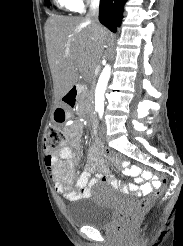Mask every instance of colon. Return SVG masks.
<instances>
[{
	"instance_id": "obj_1",
	"label": "colon",
	"mask_w": 183,
	"mask_h": 246,
	"mask_svg": "<svg viewBox=\"0 0 183 246\" xmlns=\"http://www.w3.org/2000/svg\"><path fill=\"white\" fill-rule=\"evenodd\" d=\"M66 118V112L64 109L58 108L55 112V120L57 122H64ZM64 141V134L63 132L55 125H50L47 127L45 131V137H44V149L47 152V154L54 155L57 153ZM105 154H110L111 157H117L118 153L115 152L114 149H105ZM120 158L119 156L117 157ZM122 160H125L126 162L130 161V158L127 157V155H122ZM132 167H142L144 168L143 162H132ZM146 170H151L150 167H147ZM153 174H159L160 170H153ZM159 182H157V186L155 190L152 192L150 197L142 199L137 207L131 211L130 213H126L122 215V227H131L137 219L140 217V215L143 213V211L149 206L150 202L153 199L158 198L164 189L165 182H169L170 178L165 177L164 174L160 175Z\"/></svg>"
}]
</instances>
